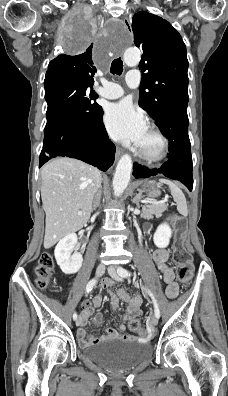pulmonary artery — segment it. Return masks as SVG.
Wrapping results in <instances>:
<instances>
[{"instance_id":"pulmonary-artery-1","label":"pulmonary artery","mask_w":228,"mask_h":396,"mask_svg":"<svg viewBox=\"0 0 228 396\" xmlns=\"http://www.w3.org/2000/svg\"><path fill=\"white\" fill-rule=\"evenodd\" d=\"M126 82L130 88H136L139 85L140 77L136 70L128 72ZM124 94L122 87L116 83L103 81V87L100 90V95L106 99H117Z\"/></svg>"}]
</instances>
